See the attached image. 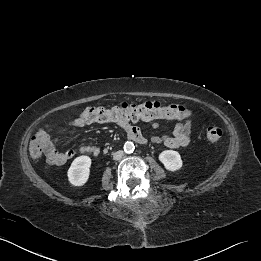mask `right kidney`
Listing matches in <instances>:
<instances>
[{
	"mask_svg": "<svg viewBox=\"0 0 261 261\" xmlns=\"http://www.w3.org/2000/svg\"><path fill=\"white\" fill-rule=\"evenodd\" d=\"M91 158L79 156L72 162L68 170V180L73 186H83L90 175Z\"/></svg>",
	"mask_w": 261,
	"mask_h": 261,
	"instance_id": "1",
	"label": "right kidney"
}]
</instances>
